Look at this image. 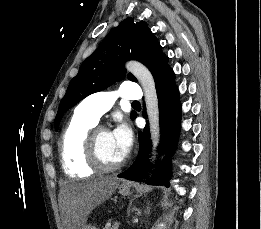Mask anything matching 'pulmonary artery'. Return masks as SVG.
Returning a JSON list of instances; mask_svg holds the SVG:
<instances>
[{
  "instance_id": "e3ab8cb5",
  "label": "pulmonary artery",
  "mask_w": 261,
  "mask_h": 229,
  "mask_svg": "<svg viewBox=\"0 0 261 229\" xmlns=\"http://www.w3.org/2000/svg\"><path fill=\"white\" fill-rule=\"evenodd\" d=\"M120 90L101 91L85 98L80 104V109L85 116L97 124L102 115L108 112L118 97L125 99H142L139 84H121Z\"/></svg>"
}]
</instances>
